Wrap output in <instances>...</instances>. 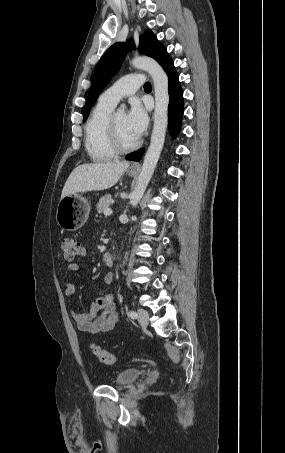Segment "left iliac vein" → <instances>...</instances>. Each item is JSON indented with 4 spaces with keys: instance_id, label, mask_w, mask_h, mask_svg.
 <instances>
[{
    "instance_id": "obj_1",
    "label": "left iliac vein",
    "mask_w": 285,
    "mask_h": 453,
    "mask_svg": "<svg viewBox=\"0 0 285 453\" xmlns=\"http://www.w3.org/2000/svg\"><path fill=\"white\" fill-rule=\"evenodd\" d=\"M138 321L142 327H146L149 322V314L145 309H138Z\"/></svg>"
}]
</instances>
